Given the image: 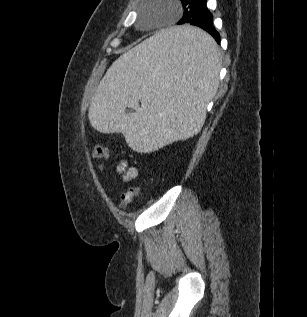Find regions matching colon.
<instances>
[{
  "instance_id": "colon-1",
  "label": "colon",
  "mask_w": 307,
  "mask_h": 317,
  "mask_svg": "<svg viewBox=\"0 0 307 317\" xmlns=\"http://www.w3.org/2000/svg\"><path fill=\"white\" fill-rule=\"evenodd\" d=\"M92 154L94 159L101 163L109 158L110 150L103 146H95ZM141 190L140 186H134L125 191L120 198V207L123 209L126 208Z\"/></svg>"
}]
</instances>
